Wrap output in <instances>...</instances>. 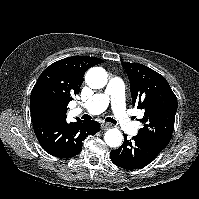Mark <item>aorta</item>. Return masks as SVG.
I'll return each mask as SVG.
<instances>
[{"mask_svg":"<svg viewBox=\"0 0 199 199\" xmlns=\"http://www.w3.org/2000/svg\"><path fill=\"white\" fill-rule=\"evenodd\" d=\"M85 81L93 89L103 88L108 81L107 72L102 67H92L87 71ZM104 140L109 147L116 148L122 144L123 136L118 129L112 128L106 131Z\"/></svg>","mask_w":199,"mask_h":199,"instance_id":"obj_1","label":"aorta"}]
</instances>
